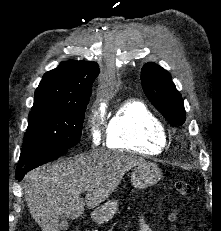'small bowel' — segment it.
Instances as JSON below:
<instances>
[{"label":"small bowel","mask_w":221,"mask_h":231,"mask_svg":"<svg viewBox=\"0 0 221 231\" xmlns=\"http://www.w3.org/2000/svg\"><path fill=\"white\" fill-rule=\"evenodd\" d=\"M139 231H153L146 220V212L143 210L139 214Z\"/></svg>","instance_id":"1"}]
</instances>
